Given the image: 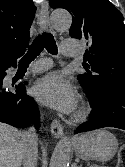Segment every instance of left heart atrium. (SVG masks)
<instances>
[{
    "mask_svg": "<svg viewBox=\"0 0 125 167\" xmlns=\"http://www.w3.org/2000/svg\"><path fill=\"white\" fill-rule=\"evenodd\" d=\"M32 94L42 104L63 113H71L77 104L72 84L58 72L40 78L33 85Z\"/></svg>",
    "mask_w": 125,
    "mask_h": 167,
    "instance_id": "39dd6f15",
    "label": "left heart atrium"
}]
</instances>
